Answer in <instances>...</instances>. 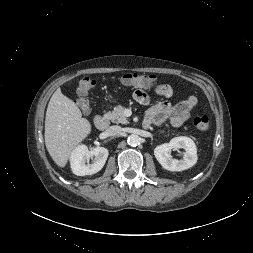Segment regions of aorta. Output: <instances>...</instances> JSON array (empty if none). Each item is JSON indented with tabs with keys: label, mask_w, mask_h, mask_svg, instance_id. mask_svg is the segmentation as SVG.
<instances>
[{
	"label": "aorta",
	"mask_w": 253,
	"mask_h": 253,
	"mask_svg": "<svg viewBox=\"0 0 253 253\" xmlns=\"http://www.w3.org/2000/svg\"><path fill=\"white\" fill-rule=\"evenodd\" d=\"M140 137L136 134H131L127 138V142L131 146H137L140 143Z\"/></svg>",
	"instance_id": "1"
}]
</instances>
